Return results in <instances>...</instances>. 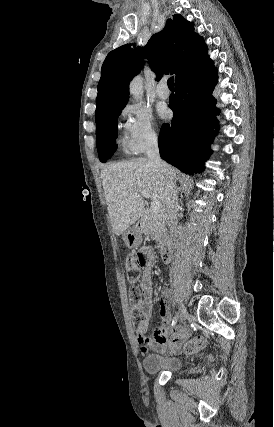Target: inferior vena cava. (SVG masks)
<instances>
[{
  "label": "inferior vena cava",
  "mask_w": 274,
  "mask_h": 427,
  "mask_svg": "<svg viewBox=\"0 0 274 427\" xmlns=\"http://www.w3.org/2000/svg\"><path fill=\"white\" fill-rule=\"evenodd\" d=\"M146 154L148 160H153V162H158L160 172H168L170 170L169 166L162 162L159 154L158 148V140L156 136H152V138H148L146 142ZM165 210L167 212V225L169 227V231L173 233L176 229L177 225V215L179 210L177 192L175 188V184H169L168 188L165 190Z\"/></svg>",
  "instance_id": "1"
}]
</instances>
